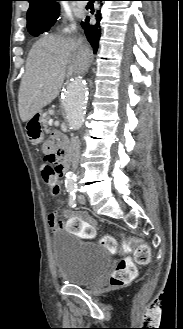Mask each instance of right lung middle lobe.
<instances>
[{"mask_svg": "<svg viewBox=\"0 0 183 329\" xmlns=\"http://www.w3.org/2000/svg\"><path fill=\"white\" fill-rule=\"evenodd\" d=\"M56 19H54L53 21H49V22H41L38 24H35L33 26H31L28 31L31 35L33 36H39V34H42L45 31H48L49 28L55 23Z\"/></svg>", "mask_w": 183, "mask_h": 329, "instance_id": "obj_1", "label": "right lung middle lobe"}]
</instances>
